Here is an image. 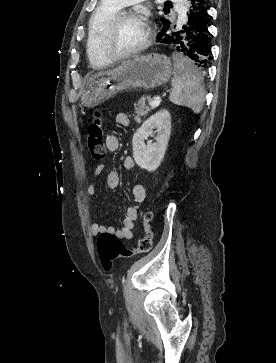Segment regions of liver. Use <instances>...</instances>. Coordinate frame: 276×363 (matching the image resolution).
<instances>
[{
	"mask_svg": "<svg viewBox=\"0 0 276 363\" xmlns=\"http://www.w3.org/2000/svg\"><path fill=\"white\" fill-rule=\"evenodd\" d=\"M105 72H99V73H96V74H94V75H92L90 78H89V81H92V80H94L95 78H97L98 76H100V75H102V74H104Z\"/></svg>",
	"mask_w": 276,
	"mask_h": 363,
	"instance_id": "1",
	"label": "liver"
}]
</instances>
